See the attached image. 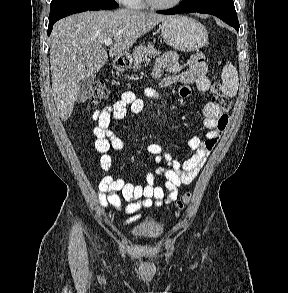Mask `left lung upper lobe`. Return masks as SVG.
Masks as SVG:
<instances>
[{"mask_svg":"<svg viewBox=\"0 0 288 293\" xmlns=\"http://www.w3.org/2000/svg\"><path fill=\"white\" fill-rule=\"evenodd\" d=\"M181 4L199 7H217L236 13L233 0H183Z\"/></svg>","mask_w":288,"mask_h":293,"instance_id":"obj_1","label":"left lung upper lobe"}]
</instances>
